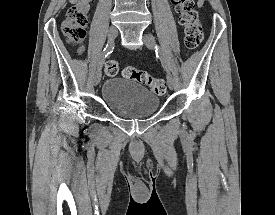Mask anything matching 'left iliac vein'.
I'll return each mask as SVG.
<instances>
[{
	"label": "left iliac vein",
	"mask_w": 275,
	"mask_h": 215,
	"mask_svg": "<svg viewBox=\"0 0 275 215\" xmlns=\"http://www.w3.org/2000/svg\"><path fill=\"white\" fill-rule=\"evenodd\" d=\"M143 40H144V43H145L147 48L154 49L155 38L153 37V35L146 33L143 36ZM167 82H168L169 89L173 90L174 85H175L174 84V79H173L172 75L169 72L167 73Z\"/></svg>",
	"instance_id": "left-iliac-vein-1"
}]
</instances>
